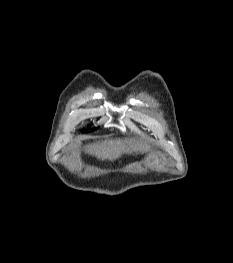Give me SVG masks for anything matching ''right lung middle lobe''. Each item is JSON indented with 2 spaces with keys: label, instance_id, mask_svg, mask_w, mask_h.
I'll return each instance as SVG.
<instances>
[{
  "label": "right lung middle lobe",
  "instance_id": "dd1d6c3e",
  "mask_svg": "<svg viewBox=\"0 0 233 263\" xmlns=\"http://www.w3.org/2000/svg\"><path fill=\"white\" fill-rule=\"evenodd\" d=\"M96 128L92 129V130H95ZM92 130H89V131H92Z\"/></svg>",
  "mask_w": 233,
  "mask_h": 263
}]
</instances>
